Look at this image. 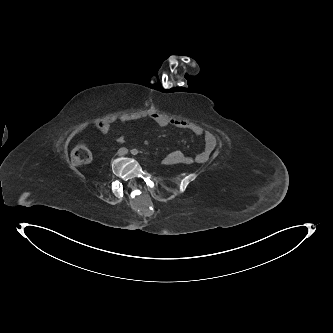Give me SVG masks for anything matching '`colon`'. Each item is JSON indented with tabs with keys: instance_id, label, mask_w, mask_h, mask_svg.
I'll return each instance as SVG.
<instances>
[{
	"instance_id": "colon-1",
	"label": "colon",
	"mask_w": 333,
	"mask_h": 333,
	"mask_svg": "<svg viewBox=\"0 0 333 333\" xmlns=\"http://www.w3.org/2000/svg\"><path fill=\"white\" fill-rule=\"evenodd\" d=\"M185 160L184 154L181 150L175 149L164 155L163 160L169 163L173 160ZM92 160V154L90 150L85 146H77L71 153V162L74 165L88 164Z\"/></svg>"
}]
</instances>
